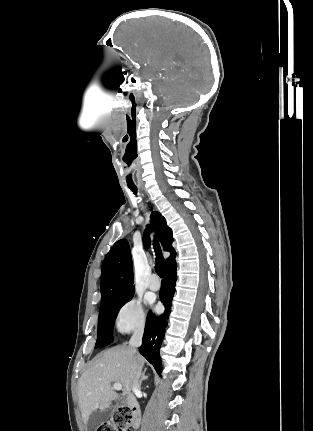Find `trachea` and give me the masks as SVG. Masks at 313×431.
Returning <instances> with one entry per match:
<instances>
[{"mask_svg": "<svg viewBox=\"0 0 313 431\" xmlns=\"http://www.w3.org/2000/svg\"><path fill=\"white\" fill-rule=\"evenodd\" d=\"M129 188L131 189V191L134 194H137V188L136 187H131L129 186ZM154 250H155V254H156V261H155V271L158 274L159 277H163V272H164V258L162 256V251L160 248V245L157 241H155L154 243Z\"/></svg>", "mask_w": 313, "mask_h": 431, "instance_id": "1", "label": "trachea"}]
</instances>
